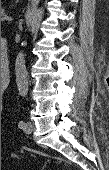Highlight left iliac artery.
<instances>
[{
    "label": "left iliac artery",
    "instance_id": "left-iliac-artery-1",
    "mask_svg": "<svg viewBox=\"0 0 109 170\" xmlns=\"http://www.w3.org/2000/svg\"><path fill=\"white\" fill-rule=\"evenodd\" d=\"M24 125H25V123L23 121H20L18 123V127L21 128V129L24 127Z\"/></svg>",
    "mask_w": 109,
    "mask_h": 170
}]
</instances>
